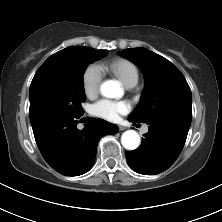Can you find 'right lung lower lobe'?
I'll list each match as a JSON object with an SVG mask.
<instances>
[{
    "label": "right lung lower lobe",
    "instance_id": "obj_1",
    "mask_svg": "<svg viewBox=\"0 0 222 222\" xmlns=\"http://www.w3.org/2000/svg\"><path fill=\"white\" fill-rule=\"evenodd\" d=\"M80 115H51L32 124L37 146L46 162L66 176L88 172L96 157L99 139L106 134H116L118 127L101 119H92L79 130Z\"/></svg>",
    "mask_w": 222,
    "mask_h": 222
}]
</instances>
